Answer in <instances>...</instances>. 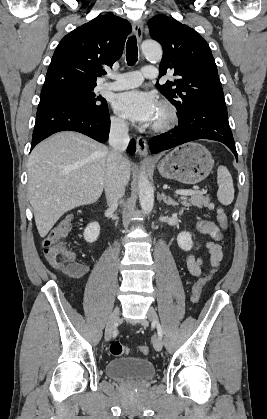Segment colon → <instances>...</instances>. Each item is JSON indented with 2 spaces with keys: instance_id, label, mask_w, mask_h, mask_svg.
<instances>
[{
  "instance_id": "5ec220e1",
  "label": "colon",
  "mask_w": 267,
  "mask_h": 419,
  "mask_svg": "<svg viewBox=\"0 0 267 419\" xmlns=\"http://www.w3.org/2000/svg\"><path fill=\"white\" fill-rule=\"evenodd\" d=\"M217 221L222 229H226L228 226V218L223 209L217 210ZM73 224V216L67 215L63 217L47 234L43 241L44 255L49 263L57 270L69 274L79 275L82 271V266L77 262L75 254L69 250L64 242V239L70 232ZM210 274L197 280L192 288V298L194 302H198L202 289L206 282L209 280ZM138 351L147 355L149 353V347L141 345L138 347ZM109 352L113 356H121L128 352V349L119 340H114L109 345Z\"/></svg>"
}]
</instances>
